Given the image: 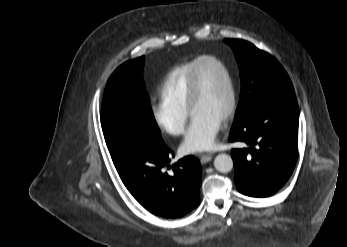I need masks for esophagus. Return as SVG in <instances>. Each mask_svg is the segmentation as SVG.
Returning a JSON list of instances; mask_svg holds the SVG:
<instances>
[{
    "mask_svg": "<svg viewBox=\"0 0 347 247\" xmlns=\"http://www.w3.org/2000/svg\"><path fill=\"white\" fill-rule=\"evenodd\" d=\"M201 163H207L212 159V153L199 154Z\"/></svg>",
    "mask_w": 347,
    "mask_h": 247,
    "instance_id": "1",
    "label": "esophagus"
}]
</instances>
